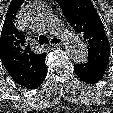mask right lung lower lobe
Wrapping results in <instances>:
<instances>
[{
  "label": "right lung lower lobe",
  "mask_w": 113,
  "mask_h": 113,
  "mask_svg": "<svg viewBox=\"0 0 113 113\" xmlns=\"http://www.w3.org/2000/svg\"><path fill=\"white\" fill-rule=\"evenodd\" d=\"M46 77H44L43 79H41L32 89L38 88L42 82L45 80Z\"/></svg>",
  "instance_id": "1"
}]
</instances>
